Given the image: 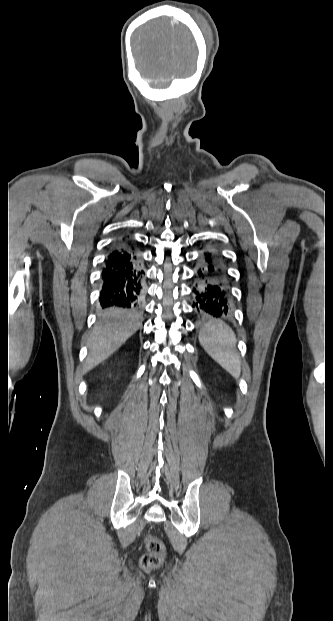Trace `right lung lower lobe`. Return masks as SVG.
Listing matches in <instances>:
<instances>
[{
	"mask_svg": "<svg viewBox=\"0 0 333 621\" xmlns=\"http://www.w3.org/2000/svg\"><path fill=\"white\" fill-rule=\"evenodd\" d=\"M102 279L100 304L103 308L141 307L145 293V273L135 247L128 241H121L112 248L105 260Z\"/></svg>",
	"mask_w": 333,
	"mask_h": 621,
	"instance_id": "right-lung-lower-lobe-1",
	"label": "right lung lower lobe"
}]
</instances>
